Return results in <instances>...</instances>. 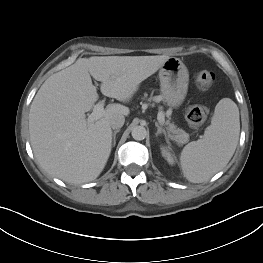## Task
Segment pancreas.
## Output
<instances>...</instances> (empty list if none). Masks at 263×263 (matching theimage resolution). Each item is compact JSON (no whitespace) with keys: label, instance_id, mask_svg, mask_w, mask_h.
<instances>
[{"label":"pancreas","instance_id":"cf45deb5","mask_svg":"<svg viewBox=\"0 0 263 263\" xmlns=\"http://www.w3.org/2000/svg\"><path fill=\"white\" fill-rule=\"evenodd\" d=\"M149 100L153 101H159L161 100V97L155 96V97H150ZM168 124V131L172 133L173 139L177 142V144L182 145L188 142L189 140V134L186 133L184 130L176 128L174 124Z\"/></svg>","mask_w":263,"mask_h":263}]
</instances>
